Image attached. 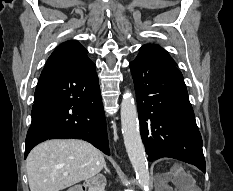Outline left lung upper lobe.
Listing matches in <instances>:
<instances>
[{
    "label": "left lung upper lobe",
    "mask_w": 233,
    "mask_h": 191,
    "mask_svg": "<svg viewBox=\"0 0 233 191\" xmlns=\"http://www.w3.org/2000/svg\"><path fill=\"white\" fill-rule=\"evenodd\" d=\"M137 57H153V58H159L164 61H167L173 65H175L173 59L170 57V55L167 53L166 50L161 48L158 45L155 44H146L140 48V53Z\"/></svg>",
    "instance_id": "5c2ea615"
}]
</instances>
